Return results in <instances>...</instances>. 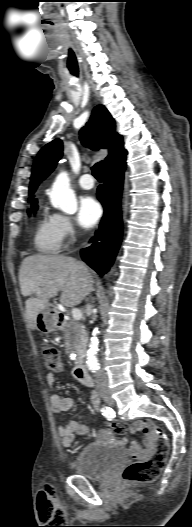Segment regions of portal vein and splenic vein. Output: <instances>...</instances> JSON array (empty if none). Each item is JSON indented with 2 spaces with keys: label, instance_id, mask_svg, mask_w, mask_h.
I'll list each match as a JSON object with an SVG mask.
<instances>
[{
  "label": "portal vein and splenic vein",
  "instance_id": "1",
  "mask_svg": "<svg viewBox=\"0 0 192 527\" xmlns=\"http://www.w3.org/2000/svg\"><path fill=\"white\" fill-rule=\"evenodd\" d=\"M72 317L75 321H79L82 318V313L79 309H72Z\"/></svg>",
  "mask_w": 192,
  "mask_h": 527
}]
</instances>
